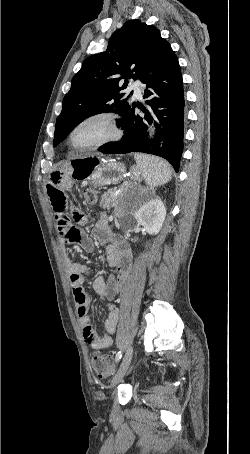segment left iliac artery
<instances>
[{
    "label": "left iliac artery",
    "instance_id": "1",
    "mask_svg": "<svg viewBox=\"0 0 250 454\" xmlns=\"http://www.w3.org/2000/svg\"><path fill=\"white\" fill-rule=\"evenodd\" d=\"M121 357H122V352L119 351V352L116 354V357H115L116 362H119V360L121 359Z\"/></svg>",
    "mask_w": 250,
    "mask_h": 454
}]
</instances>
